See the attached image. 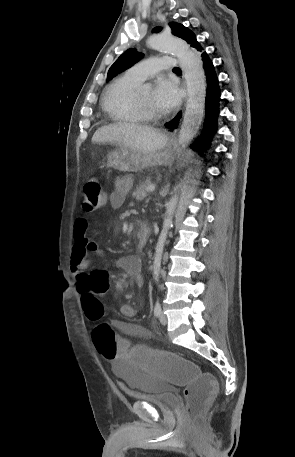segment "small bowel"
<instances>
[{
    "label": "small bowel",
    "instance_id": "c3829d8e",
    "mask_svg": "<svg viewBox=\"0 0 295 457\" xmlns=\"http://www.w3.org/2000/svg\"><path fill=\"white\" fill-rule=\"evenodd\" d=\"M131 185V181L127 178H120L116 181L115 188L111 192L109 198L112 208H120L124 204ZM74 232L75 243L70 259V269L77 287L81 292L83 285L87 282V274L85 271L89 265L88 254L90 252L101 253V249L98 244L90 238L91 225L87 218L79 217L76 219ZM115 264L133 276L138 287L144 285V278L141 272V260L138 257L126 256L117 258ZM90 274H93V272ZM120 313L125 318H133L136 315V310L130 304H122L120 306ZM114 326L118 330H121L123 334L130 336H145L149 333L146 328L123 320L114 321ZM124 341H129V339L124 337ZM132 350L134 349L132 348Z\"/></svg>",
    "mask_w": 295,
    "mask_h": 457
}]
</instances>
